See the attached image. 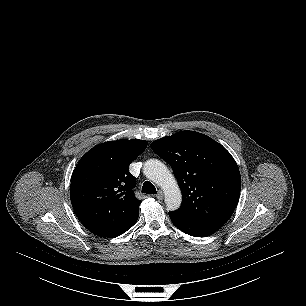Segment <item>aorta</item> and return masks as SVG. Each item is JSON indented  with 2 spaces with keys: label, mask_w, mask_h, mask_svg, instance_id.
Returning a JSON list of instances; mask_svg holds the SVG:
<instances>
[{
  "label": "aorta",
  "mask_w": 306,
  "mask_h": 306,
  "mask_svg": "<svg viewBox=\"0 0 306 306\" xmlns=\"http://www.w3.org/2000/svg\"><path fill=\"white\" fill-rule=\"evenodd\" d=\"M143 173L164 191L167 209L177 210L182 202V194L175 177L166 165L157 159L147 160L143 166Z\"/></svg>",
  "instance_id": "1"
}]
</instances>
